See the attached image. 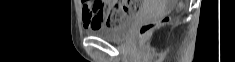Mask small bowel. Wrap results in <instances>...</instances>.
Listing matches in <instances>:
<instances>
[{
  "instance_id": "c3829d8e",
  "label": "small bowel",
  "mask_w": 235,
  "mask_h": 62,
  "mask_svg": "<svg viewBox=\"0 0 235 62\" xmlns=\"http://www.w3.org/2000/svg\"><path fill=\"white\" fill-rule=\"evenodd\" d=\"M82 5V18L84 27L87 30H94L101 27L104 22L107 24L110 8H99L98 5L93 4L91 1H84L81 2ZM125 10V15L131 14L134 12L133 3L129 2H122L120 3Z\"/></svg>"
}]
</instances>
